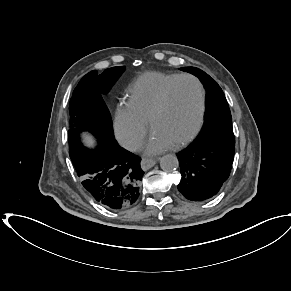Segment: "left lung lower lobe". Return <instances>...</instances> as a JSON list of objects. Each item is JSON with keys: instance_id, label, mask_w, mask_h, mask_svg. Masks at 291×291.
Listing matches in <instances>:
<instances>
[{"instance_id": "obj_1", "label": "left lung lower lobe", "mask_w": 291, "mask_h": 291, "mask_svg": "<svg viewBox=\"0 0 291 291\" xmlns=\"http://www.w3.org/2000/svg\"><path fill=\"white\" fill-rule=\"evenodd\" d=\"M234 153L233 145L194 140L177 154L181 173L179 192L196 202L216 196L230 175Z\"/></svg>"}]
</instances>
